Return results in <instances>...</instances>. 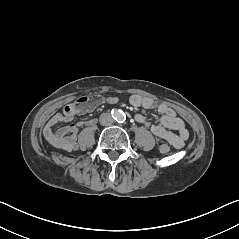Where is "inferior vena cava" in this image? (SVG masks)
<instances>
[{"label": "inferior vena cava", "instance_id": "inferior-vena-cava-1", "mask_svg": "<svg viewBox=\"0 0 239 239\" xmlns=\"http://www.w3.org/2000/svg\"><path fill=\"white\" fill-rule=\"evenodd\" d=\"M100 124L103 126H109L113 123V118L110 113H102L99 118Z\"/></svg>", "mask_w": 239, "mask_h": 239}]
</instances>
